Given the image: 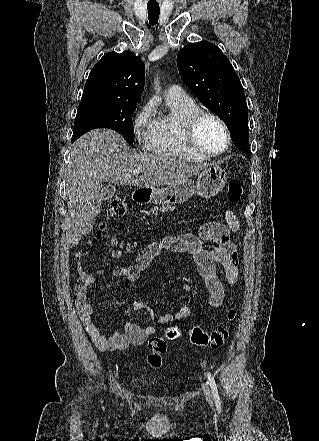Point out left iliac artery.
Here are the masks:
<instances>
[{
  "label": "left iliac artery",
  "mask_w": 319,
  "mask_h": 441,
  "mask_svg": "<svg viewBox=\"0 0 319 441\" xmlns=\"http://www.w3.org/2000/svg\"><path fill=\"white\" fill-rule=\"evenodd\" d=\"M206 376H207V379H208V384L211 387V391H212V394H213L215 405H216V407L218 409H220L221 408V401H220V397H219V394H218V390H217V386H216L214 377L211 375L210 372H206Z\"/></svg>",
  "instance_id": "44dca946"
}]
</instances>
